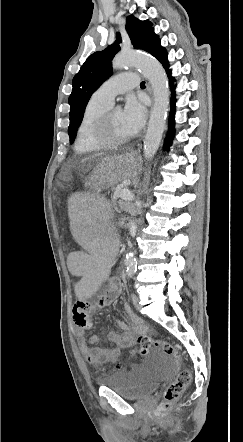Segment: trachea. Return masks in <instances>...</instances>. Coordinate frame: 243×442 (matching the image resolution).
<instances>
[{
  "mask_svg": "<svg viewBox=\"0 0 243 442\" xmlns=\"http://www.w3.org/2000/svg\"><path fill=\"white\" fill-rule=\"evenodd\" d=\"M140 87H145V82H141Z\"/></svg>",
  "mask_w": 243,
  "mask_h": 442,
  "instance_id": "1",
  "label": "trachea"
}]
</instances>
